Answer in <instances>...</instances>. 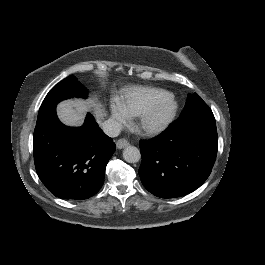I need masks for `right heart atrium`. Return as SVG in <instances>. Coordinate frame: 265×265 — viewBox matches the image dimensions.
I'll return each instance as SVG.
<instances>
[{"label":"right heart atrium","mask_w":265,"mask_h":265,"mask_svg":"<svg viewBox=\"0 0 265 265\" xmlns=\"http://www.w3.org/2000/svg\"><path fill=\"white\" fill-rule=\"evenodd\" d=\"M130 122L128 117L121 115L116 109L113 110L109 123L113 128H121Z\"/></svg>","instance_id":"right-heart-atrium-1"}]
</instances>
